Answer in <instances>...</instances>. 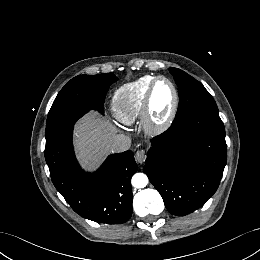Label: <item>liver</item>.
Returning <instances> with one entry per match:
<instances>
[{
    "label": "liver",
    "instance_id": "liver-1",
    "mask_svg": "<svg viewBox=\"0 0 260 260\" xmlns=\"http://www.w3.org/2000/svg\"><path fill=\"white\" fill-rule=\"evenodd\" d=\"M116 133L112 124L92 112L76 123L75 148L84 168H95L106 154L112 152L111 141Z\"/></svg>",
    "mask_w": 260,
    "mask_h": 260
}]
</instances>
